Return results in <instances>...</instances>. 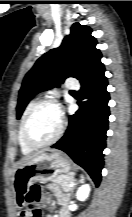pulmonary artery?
<instances>
[{
	"label": "pulmonary artery",
	"mask_w": 132,
	"mask_h": 217,
	"mask_svg": "<svg viewBox=\"0 0 132 217\" xmlns=\"http://www.w3.org/2000/svg\"><path fill=\"white\" fill-rule=\"evenodd\" d=\"M67 85L71 89H78L79 88V85L74 81H69Z\"/></svg>",
	"instance_id": "pulmonary-artery-1"
}]
</instances>
